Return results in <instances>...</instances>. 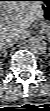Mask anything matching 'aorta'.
<instances>
[{"label":"aorta","instance_id":"1","mask_svg":"<svg viewBox=\"0 0 50 111\" xmlns=\"http://www.w3.org/2000/svg\"><path fill=\"white\" fill-rule=\"evenodd\" d=\"M29 49L35 53H43L46 50V43L39 37H32L29 41Z\"/></svg>","mask_w":50,"mask_h":111}]
</instances>
